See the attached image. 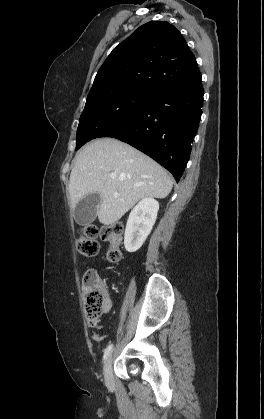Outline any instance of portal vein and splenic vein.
<instances>
[{"instance_id":"18ae733b","label":"portal vein and splenic vein","mask_w":264,"mask_h":419,"mask_svg":"<svg viewBox=\"0 0 264 419\" xmlns=\"http://www.w3.org/2000/svg\"><path fill=\"white\" fill-rule=\"evenodd\" d=\"M111 178H115V175L114 174H111Z\"/></svg>"}]
</instances>
